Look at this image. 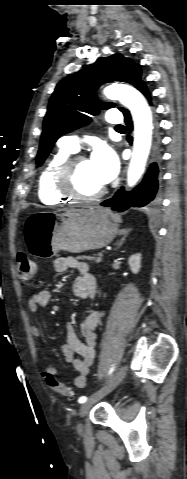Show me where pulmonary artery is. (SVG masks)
<instances>
[{"mask_svg": "<svg viewBox=\"0 0 187 479\" xmlns=\"http://www.w3.org/2000/svg\"><path fill=\"white\" fill-rule=\"evenodd\" d=\"M105 121L111 125H121L122 116L116 109H111L105 116ZM59 145L64 146L72 151H77L79 147V141L77 135H66L59 139Z\"/></svg>", "mask_w": 187, "mask_h": 479, "instance_id": "obj_1", "label": "pulmonary artery"}]
</instances>
